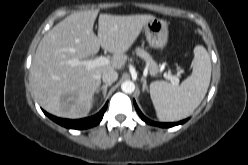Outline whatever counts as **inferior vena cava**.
Here are the masks:
<instances>
[{"label":"inferior vena cava","mask_w":248,"mask_h":165,"mask_svg":"<svg viewBox=\"0 0 248 165\" xmlns=\"http://www.w3.org/2000/svg\"><path fill=\"white\" fill-rule=\"evenodd\" d=\"M118 78V73L115 70H109L102 74V80L106 84H112Z\"/></svg>","instance_id":"1"}]
</instances>
